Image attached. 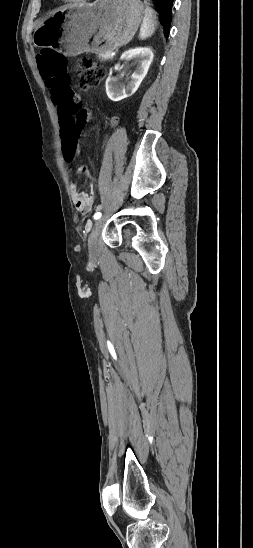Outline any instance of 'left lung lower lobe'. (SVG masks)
I'll return each mask as SVG.
<instances>
[{
	"instance_id": "obj_1",
	"label": "left lung lower lobe",
	"mask_w": 253,
	"mask_h": 548,
	"mask_svg": "<svg viewBox=\"0 0 253 548\" xmlns=\"http://www.w3.org/2000/svg\"><path fill=\"white\" fill-rule=\"evenodd\" d=\"M158 5V12L161 15V23L164 27V31L167 34L170 28L172 19V7L174 0H152Z\"/></svg>"
}]
</instances>
